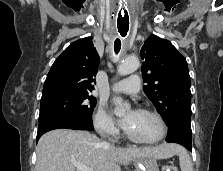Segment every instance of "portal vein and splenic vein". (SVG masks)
Listing matches in <instances>:
<instances>
[{
	"label": "portal vein and splenic vein",
	"mask_w": 223,
	"mask_h": 171,
	"mask_svg": "<svg viewBox=\"0 0 223 171\" xmlns=\"http://www.w3.org/2000/svg\"><path fill=\"white\" fill-rule=\"evenodd\" d=\"M74 165H75L77 171H94L91 167H88L83 164L75 163Z\"/></svg>",
	"instance_id": "portal-vein-and-splenic-vein-1"
}]
</instances>
